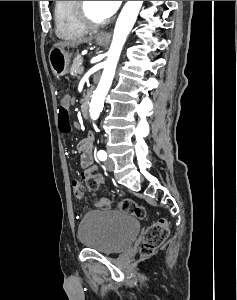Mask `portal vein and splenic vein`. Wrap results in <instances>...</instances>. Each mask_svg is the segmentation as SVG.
<instances>
[{
  "instance_id": "obj_1",
  "label": "portal vein and splenic vein",
  "mask_w": 237,
  "mask_h": 300,
  "mask_svg": "<svg viewBox=\"0 0 237 300\" xmlns=\"http://www.w3.org/2000/svg\"><path fill=\"white\" fill-rule=\"evenodd\" d=\"M86 66V65H85ZM84 66H80V68H79V72L82 74V73H84ZM80 75V74H79Z\"/></svg>"
}]
</instances>
